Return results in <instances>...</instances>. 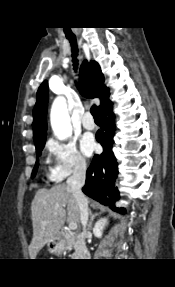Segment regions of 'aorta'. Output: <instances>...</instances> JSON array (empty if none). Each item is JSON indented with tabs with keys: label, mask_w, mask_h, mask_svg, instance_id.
I'll return each instance as SVG.
<instances>
[{
	"label": "aorta",
	"mask_w": 175,
	"mask_h": 287,
	"mask_svg": "<svg viewBox=\"0 0 175 287\" xmlns=\"http://www.w3.org/2000/svg\"><path fill=\"white\" fill-rule=\"evenodd\" d=\"M51 127L59 140H66L72 135V125L64 97H57L51 107Z\"/></svg>",
	"instance_id": "obj_1"
}]
</instances>
